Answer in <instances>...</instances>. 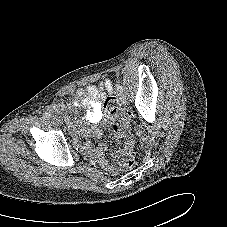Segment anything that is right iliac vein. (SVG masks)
I'll list each match as a JSON object with an SVG mask.
<instances>
[{
	"mask_svg": "<svg viewBox=\"0 0 227 227\" xmlns=\"http://www.w3.org/2000/svg\"><path fill=\"white\" fill-rule=\"evenodd\" d=\"M52 119L56 122H62V119L58 117L57 115L52 116Z\"/></svg>",
	"mask_w": 227,
	"mask_h": 227,
	"instance_id": "63e3f726",
	"label": "right iliac vein"
}]
</instances>
